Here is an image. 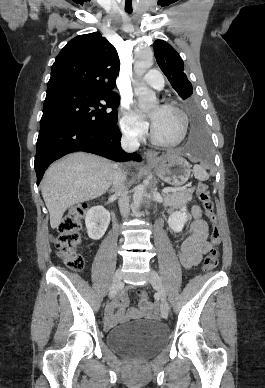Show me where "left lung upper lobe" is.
I'll return each mask as SVG.
<instances>
[{
	"mask_svg": "<svg viewBox=\"0 0 265 388\" xmlns=\"http://www.w3.org/2000/svg\"><path fill=\"white\" fill-rule=\"evenodd\" d=\"M156 61L182 99H187L193 93V87L184 73V63L177 51L167 42L156 40L153 44ZM189 109L196 108L192 102Z\"/></svg>",
	"mask_w": 265,
	"mask_h": 388,
	"instance_id": "left-lung-upper-lobe-1",
	"label": "left lung upper lobe"
}]
</instances>
